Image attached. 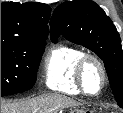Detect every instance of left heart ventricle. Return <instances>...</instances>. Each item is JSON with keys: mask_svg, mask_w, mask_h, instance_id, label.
<instances>
[{"mask_svg": "<svg viewBox=\"0 0 123 113\" xmlns=\"http://www.w3.org/2000/svg\"><path fill=\"white\" fill-rule=\"evenodd\" d=\"M86 82L90 92H95L100 86V71L94 63H90L86 69Z\"/></svg>", "mask_w": 123, "mask_h": 113, "instance_id": "1", "label": "left heart ventricle"}]
</instances>
